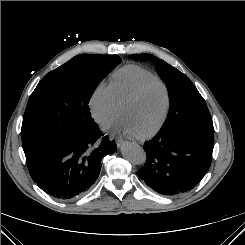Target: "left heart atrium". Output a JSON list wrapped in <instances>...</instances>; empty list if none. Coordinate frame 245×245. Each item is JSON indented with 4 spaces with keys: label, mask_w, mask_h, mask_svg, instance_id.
Instances as JSON below:
<instances>
[{
    "label": "left heart atrium",
    "mask_w": 245,
    "mask_h": 245,
    "mask_svg": "<svg viewBox=\"0 0 245 245\" xmlns=\"http://www.w3.org/2000/svg\"><path fill=\"white\" fill-rule=\"evenodd\" d=\"M113 128L115 130H122L125 134H127L128 136L131 137H136L139 134L127 123V121L125 120V118L123 117V119L121 120L120 123H116L113 125Z\"/></svg>",
    "instance_id": "obj_1"
}]
</instances>
